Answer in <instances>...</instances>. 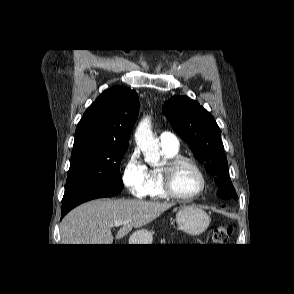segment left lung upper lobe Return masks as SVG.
<instances>
[{"instance_id": "5c2ea615", "label": "left lung upper lobe", "mask_w": 294, "mask_h": 294, "mask_svg": "<svg viewBox=\"0 0 294 294\" xmlns=\"http://www.w3.org/2000/svg\"><path fill=\"white\" fill-rule=\"evenodd\" d=\"M163 114L179 136L190 146L198 161L214 177L218 196L237 199L230 181L228 162L214 117L195 100L174 96L163 106Z\"/></svg>"}]
</instances>
